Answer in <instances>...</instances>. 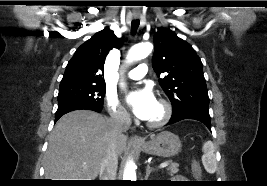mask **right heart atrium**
Returning a JSON list of instances; mask_svg holds the SVG:
<instances>
[{
    "label": "right heart atrium",
    "mask_w": 267,
    "mask_h": 186,
    "mask_svg": "<svg viewBox=\"0 0 267 186\" xmlns=\"http://www.w3.org/2000/svg\"><path fill=\"white\" fill-rule=\"evenodd\" d=\"M106 104L109 114L113 120L123 124L129 123L130 116L125 108L118 102L115 94H106Z\"/></svg>",
    "instance_id": "obj_1"
}]
</instances>
